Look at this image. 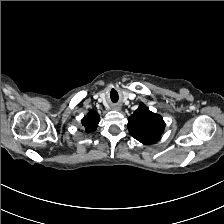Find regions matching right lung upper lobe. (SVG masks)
<instances>
[{
    "label": "right lung upper lobe",
    "instance_id": "right-lung-upper-lobe-1",
    "mask_svg": "<svg viewBox=\"0 0 224 224\" xmlns=\"http://www.w3.org/2000/svg\"><path fill=\"white\" fill-rule=\"evenodd\" d=\"M82 125L85 127L87 133L95 131L99 123V115L94 110H90L89 113L82 119Z\"/></svg>",
    "mask_w": 224,
    "mask_h": 224
}]
</instances>
